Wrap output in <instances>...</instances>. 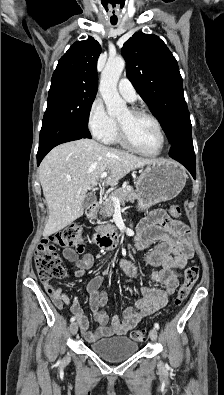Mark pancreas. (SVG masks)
Wrapping results in <instances>:
<instances>
[{
  "mask_svg": "<svg viewBox=\"0 0 224 395\" xmlns=\"http://www.w3.org/2000/svg\"><path fill=\"white\" fill-rule=\"evenodd\" d=\"M112 197H117L120 200L121 204H124L125 202H134L137 198L138 195L135 193V191L132 188H127V187H121L111 193V196L106 199L104 202L100 204V215L102 218L105 217H110L112 216L115 205L112 201ZM98 230L103 231V230H115L114 226L107 225L101 228H98Z\"/></svg>",
  "mask_w": 224,
  "mask_h": 395,
  "instance_id": "obj_1",
  "label": "pancreas"
}]
</instances>
